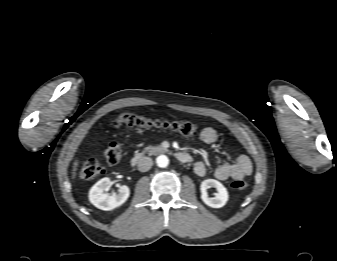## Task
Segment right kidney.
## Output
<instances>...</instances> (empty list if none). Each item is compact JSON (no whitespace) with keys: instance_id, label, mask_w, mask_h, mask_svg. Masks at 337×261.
<instances>
[{"instance_id":"obj_1","label":"right kidney","mask_w":337,"mask_h":261,"mask_svg":"<svg viewBox=\"0 0 337 261\" xmlns=\"http://www.w3.org/2000/svg\"><path fill=\"white\" fill-rule=\"evenodd\" d=\"M111 186L109 178H102L89 191V200L97 208L101 210H112L122 205L129 197L130 190L127 186H121L118 193L108 195L104 191Z\"/></svg>"}]
</instances>
